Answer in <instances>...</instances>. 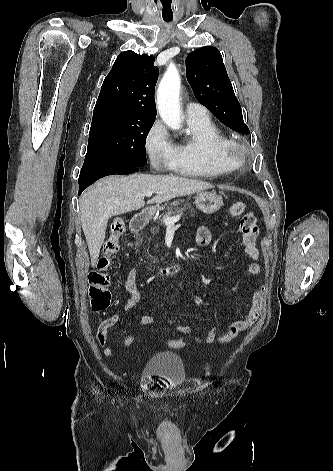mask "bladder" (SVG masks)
I'll list each match as a JSON object with an SVG mask.
<instances>
[{"instance_id":"bladder-1","label":"bladder","mask_w":333,"mask_h":471,"mask_svg":"<svg viewBox=\"0 0 333 471\" xmlns=\"http://www.w3.org/2000/svg\"><path fill=\"white\" fill-rule=\"evenodd\" d=\"M142 373L144 376L162 378L168 381L172 388L182 386L186 377L182 359L173 352H160L153 355L146 362Z\"/></svg>"}]
</instances>
